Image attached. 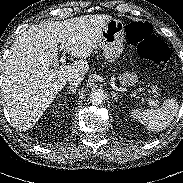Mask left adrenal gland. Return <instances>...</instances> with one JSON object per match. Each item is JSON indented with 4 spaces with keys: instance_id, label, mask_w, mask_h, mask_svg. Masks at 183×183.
<instances>
[{
    "instance_id": "1",
    "label": "left adrenal gland",
    "mask_w": 183,
    "mask_h": 183,
    "mask_svg": "<svg viewBox=\"0 0 183 183\" xmlns=\"http://www.w3.org/2000/svg\"><path fill=\"white\" fill-rule=\"evenodd\" d=\"M111 94H112V98H114V100H116L117 102V99H118L117 94L114 91H112Z\"/></svg>"
}]
</instances>
